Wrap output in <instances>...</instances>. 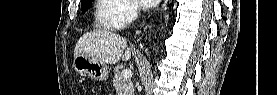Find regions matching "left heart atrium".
<instances>
[{"mask_svg": "<svg viewBox=\"0 0 277 95\" xmlns=\"http://www.w3.org/2000/svg\"><path fill=\"white\" fill-rule=\"evenodd\" d=\"M136 2L143 8H152L157 3L156 0H136Z\"/></svg>", "mask_w": 277, "mask_h": 95, "instance_id": "39dd6f15", "label": "left heart atrium"}]
</instances>
